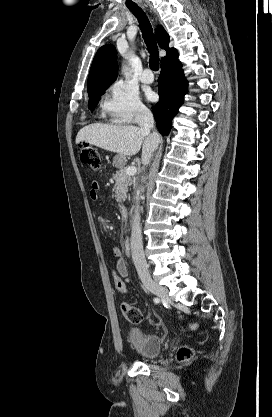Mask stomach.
<instances>
[{
    "instance_id": "0dacf381",
    "label": "stomach",
    "mask_w": 272,
    "mask_h": 417,
    "mask_svg": "<svg viewBox=\"0 0 272 417\" xmlns=\"http://www.w3.org/2000/svg\"><path fill=\"white\" fill-rule=\"evenodd\" d=\"M113 163L116 167L118 168H122L125 163H126V156L121 155V154H117L114 158H113Z\"/></svg>"
}]
</instances>
